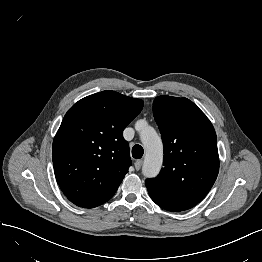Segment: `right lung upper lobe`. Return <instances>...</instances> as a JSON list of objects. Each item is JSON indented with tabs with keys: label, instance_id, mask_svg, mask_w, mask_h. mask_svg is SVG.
I'll use <instances>...</instances> for the list:
<instances>
[{
	"label": "right lung upper lobe",
	"instance_id": "obj_1",
	"mask_svg": "<svg viewBox=\"0 0 262 262\" xmlns=\"http://www.w3.org/2000/svg\"><path fill=\"white\" fill-rule=\"evenodd\" d=\"M143 104L107 90L68 110L53 140L52 158L56 180L75 205L97 207L115 194L132 165L123 130Z\"/></svg>",
	"mask_w": 262,
	"mask_h": 262
}]
</instances>
